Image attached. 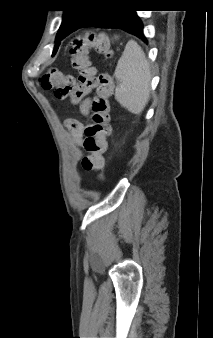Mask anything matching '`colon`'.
I'll use <instances>...</instances> for the list:
<instances>
[{
    "label": "colon",
    "mask_w": 213,
    "mask_h": 338,
    "mask_svg": "<svg viewBox=\"0 0 213 338\" xmlns=\"http://www.w3.org/2000/svg\"><path fill=\"white\" fill-rule=\"evenodd\" d=\"M91 50L110 57L112 47L108 36L87 33L74 37L68 47V54L72 59L73 68L78 72V79L51 68L41 78L40 85L44 90H54L57 99L69 97L73 105H78L84 94L94 91L90 105L91 114L84 128V148L87 155L82 159V168L88 172L95 171L102 176L111 133L109 98L113 88L110 75L106 73L97 75L96 69L91 65ZM66 126L74 129L77 122L70 119L66 122Z\"/></svg>",
    "instance_id": "5ec220e1"
}]
</instances>
